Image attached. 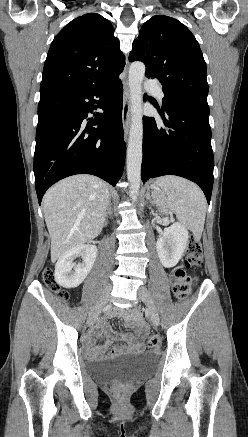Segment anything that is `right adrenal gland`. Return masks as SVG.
<instances>
[{
  "label": "right adrenal gland",
  "instance_id": "right-adrenal-gland-1",
  "mask_svg": "<svg viewBox=\"0 0 248 437\" xmlns=\"http://www.w3.org/2000/svg\"><path fill=\"white\" fill-rule=\"evenodd\" d=\"M111 214H112V211H111V203H110L109 206H108V209H107V213H106L105 225H107L108 217L111 216Z\"/></svg>",
  "mask_w": 248,
  "mask_h": 437
}]
</instances>
